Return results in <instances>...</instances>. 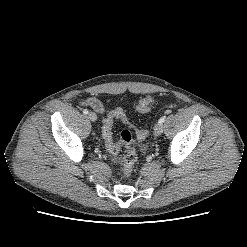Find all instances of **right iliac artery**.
Here are the masks:
<instances>
[{"mask_svg": "<svg viewBox=\"0 0 247 247\" xmlns=\"http://www.w3.org/2000/svg\"><path fill=\"white\" fill-rule=\"evenodd\" d=\"M83 113H84L85 115H87V114H88V110H87V109H84V110H83Z\"/></svg>", "mask_w": 247, "mask_h": 247, "instance_id": "obj_1", "label": "right iliac artery"}]
</instances>
